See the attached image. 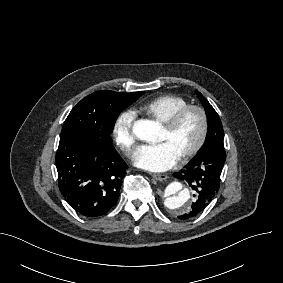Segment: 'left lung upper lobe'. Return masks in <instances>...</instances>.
<instances>
[{
    "label": "left lung upper lobe",
    "instance_id": "5c2ea615",
    "mask_svg": "<svg viewBox=\"0 0 283 283\" xmlns=\"http://www.w3.org/2000/svg\"><path fill=\"white\" fill-rule=\"evenodd\" d=\"M197 94L198 98L205 107L209 123V130L204 145L208 143H223V127L217 112L200 92H197Z\"/></svg>",
    "mask_w": 283,
    "mask_h": 283
}]
</instances>
